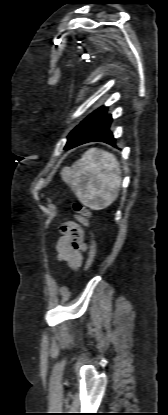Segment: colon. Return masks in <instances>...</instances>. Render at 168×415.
I'll return each mask as SVG.
<instances>
[{
  "label": "colon",
  "instance_id": "1",
  "mask_svg": "<svg viewBox=\"0 0 168 415\" xmlns=\"http://www.w3.org/2000/svg\"><path fill=\"white\" fill-rule=\"evenodd\" d=\"M73 209L75 212L82 214L87 219H89L91 216L90 210L79 202H75L73 204ZM95 257H96V248H95L94 241L91 239L89 243V247H88V256H87V263H86L87 269H89L93 265L95 261Z\"/></svg>",
  "mask_w": 168,
  "mask_h": 415
}]
</instances>
